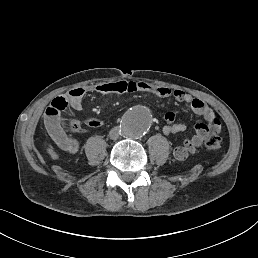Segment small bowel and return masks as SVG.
Wrapping results in <instances>:
<instances>
[{"instance_id": "small-bowel-1", "label": "small bowel", "mask_w": 258, "mask_h": 258, "mask_svg": "<svg viewBox=\"0 0 258 258\" xmlns=\"http://www.w3.org/2000/svg\"><path fill=\"white\" fill-rule=\"evenodd\" d=\"M90 92L100 94L147 92L162 98L171 97L187 104L196 115L203 117L207 123H197L194 127L195 134L190 138L184 139L183 145L174 148L173 156L180 161L194 154L209 133H219L221 130V123L217 119L214 111L203 100L183 90L154 86L141 81L121 80L117 82L100 83L94 86L77 87L70 90L65 95L56 97L45 112L44 120L50 137L60 149L70 154H76L79 151V143L69 134L67 120L63 112L66 108L81 110L83 98ZM164 120L165 125L162 131L165 135L182 133L186 130L185 124L174 122L175 115L172 112L165 113ZM85 124L91 128H99L104 125V122L94 117H87Z\"/></svg>"}]
</instances>
